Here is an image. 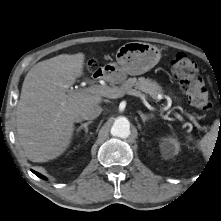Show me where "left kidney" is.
Instances as JSON below:
<instances>
[{
  "instance_id": "obj_1",
  "label": "left kidney",
  "mask_w": 221,
  "mask_h": 221,
  "mask_svg": "<svg viewBox=\"0 0 221 221\" xmlns=\"http://www.w3.org/2000/svg\"><path fill=\"white\" fill-rule=\"evenodd\" d=\"M160 148L162 155L165 157L177 155L180 150L178 141L172 137L163 138L162 142L160 143Z\"/></svg>"
}]
</instances>
